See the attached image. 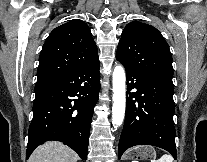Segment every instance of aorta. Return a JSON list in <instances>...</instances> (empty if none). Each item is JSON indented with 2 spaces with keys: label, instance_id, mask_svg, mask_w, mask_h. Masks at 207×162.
<instances>
[{
  "label": "aorta",
  "instance_id": "aorta-1",
  "mask_svg": "<svg viewBox=\"0 0 207 162\" xmlns=\"http://www.w3.org/2000/svg\"><path fill=\"white\" fill-rule=\"evenodd\" d=\"M125 71L120 65L116 66L113 71V107H112V124L115 129L121 126L125 115Z\"/></svg>",
  "mask_w": 207,
  "mask_h": 162
}]
</instances>
